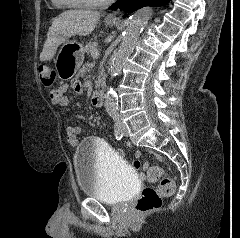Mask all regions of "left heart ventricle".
Masks as SVG:
<instances>
[{"label": "left heart ventricle", "mask_w": 240, "mask_h": 238, "mask_svg": "<svg viewBox=\"0 0 240 238\" xmlns=\"http://www.w3.org/2000/svg\"><path fill=\"white\" fill-rule=\"evenodd\" d=\"M74 1L98 2L103 0H74Z\"/></svg>", "instance_id": "left-heart-ventricle-1"}]
</instances>
